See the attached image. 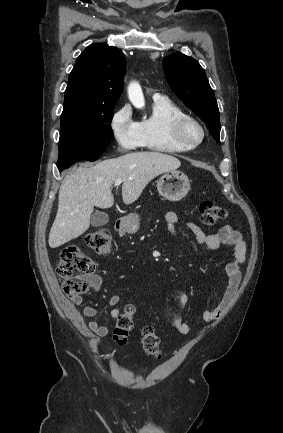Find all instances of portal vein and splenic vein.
Instances as JSON below:
<instances>
[{
	"mask_svg": "<svg viewBox=\"0 0 283 433\" xmlns=\"http://www.w3.org/2000/svg\"><path fill=\"white\" fill-rule=\"evenodd\" d=\"M122 182V178H116L115 182H114V186H119V184H121Z\"/></svg>",
	"mask_w": 283,
	"mask_h": 433,
	"instance_id": "obj_1",
	"label": "portal vein and splenic vein"
}]
</instances>
